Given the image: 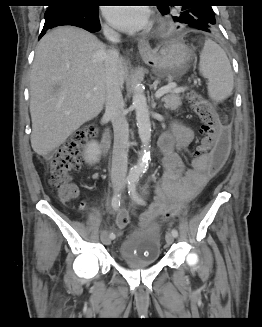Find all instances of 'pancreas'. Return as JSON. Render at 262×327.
Masks as SVG:
<instances>
[{"mask_svg": "<svg viewBox=\"0 0 262 327\" xmlns=\"http://www.w3.org/2000/svg\"><path fill=\"white\" fill-rule=\"evenodd\" d=\"M182 97H180V92H175L173 90L167 92L163 97L162 101L164 102V106L166 109H170L175 111L181 106Z\"/></svg>", "mask_w": 262, "mask_h": 327, "instance_id": "obj_1", "label": "pancreas"}]
</instances>
